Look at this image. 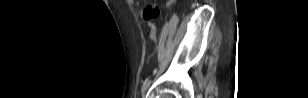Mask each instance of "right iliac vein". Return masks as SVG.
I'll list each match as a JSON object with an SVG mask.
<instances>
[{"label":"right iliac vein","instance_id":"63e3f726","mask_svg":"<svg viewBox=\"0 0 308 98\" xmlns=\"http://www.w3.org/2000/svg\"><path fill=\"white\" fill-rule=\"evenodd\" d=\"M149 85L142 91L143 94L146 92V90L148 89Z\"/></svg>","mask_w":308,"mask_h":98}]
</instances>
